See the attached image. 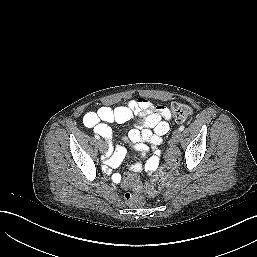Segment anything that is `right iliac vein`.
Returning a JSON list of instances; mask_svg holds the SVG:
<instances>
[{"label": "right iliac vein", "mask_w": 257, "mask_h": 257, "mask_svg": "<svg viewBox=\"0 0 257 257\" xmlns=\"http://www.w3.org/2000/svg\"><path fill=\"white\" fill-rule=\"evenodd\" d=\"M98 146H99L100 151L103 152L106 150V144L102 139L98 140Z\"/></svg>", "instance_id": "63e3f726"}]
</instances>
